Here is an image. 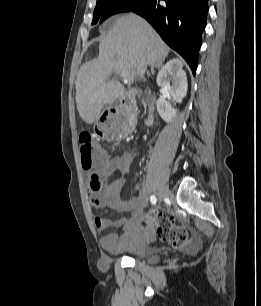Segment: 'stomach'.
I'll list each match as a JSON object with an SVG mask.
<instances>
[{
	"label": "stomach",
	"mask_w": 261,
	"mask_h": 306,
	"mask_svg": "<svg viewBox=\"0 0 261 306\" xmlns=\"http://www.w3.org/2000/svg\"><path fill=\"white\" fill-rule=\"evenodd\" d=\"M135 128V120L130 116H124V122L119 132L120 137H125L130 134Z\"/></svg>",
	"instance_id": "obj_1"
}]
</instances>
